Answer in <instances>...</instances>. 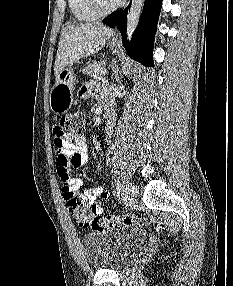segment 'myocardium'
Listing matches in <instances>:
<instances>
[{"mask_svg":"<svg viewBox=\"0 0 233 286\" xmlns=\"http://www.w3.org/2000/svg\"><path fill=\"white\" fill-rule=\"evenodd\" d=\"M88 2H89V5H90L91 9L93 10V12L97 16H105V15H108V14L112 13L122 3V1L118 2V3L115 2L113 5H111L109 7H104L100 0H88Z\"/></svg>","mask_w":233,"mask_h":286,"instance_id":"1","label":"myocardium"}]
</instances>
